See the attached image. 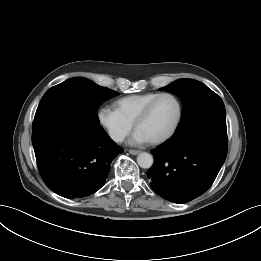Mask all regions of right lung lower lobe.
Instances as JSON below:
<instances>
[{"mask_svg":"<svg viewBox=\"0 0 261 261\" xmlns=\"http://www.w3.org/2000/svg\"><path fill=\"white\" fill-rule=\"evenodd\" d=\"M32 143L45 184L65 198L86 197L106 181L123 149L99 125L55 119L32 128Z\"/></svg>","mask_w":261,"mask_h":261,"instance_id":"98d812e1","label":"right lung lower lobe"}]
</instances>
